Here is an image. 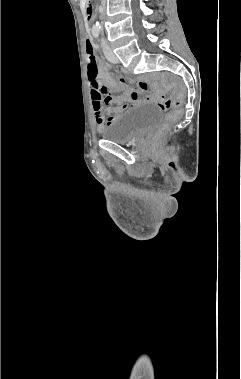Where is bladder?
<instances>
[{"label":"bladder","mask_w":241,"mask_h":379,"mask_svg":"<svg viewBox=\"0 0 241 379\" xmlns=\"http://www.w3.org/2000/svg\"><path fill=\"white\" fill-rule=\"evenodd\" d=\"M162 120V112L147 103L137 104L114 118L101 131V136L119 144L129 143L154 129Z\"/></svg>","instance_id":"obj_1"}]
</instances>
